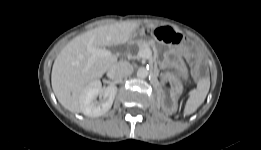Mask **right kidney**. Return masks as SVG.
Returning <instances> with one entry per match:
<instances>
[{
	"label": "right kidney",
	"instance_id": "1",
	"mask_svg": "<svg viewBox=\"0 0 261 150\" xmlns=\"http://www.w3.org/2000/svg\"><path fill=\"white\" fill-rule=\"evenodd\" d=\"M116 93L117 87L115 85H109L102 89L99 80L91 83L84 89L81 97L82 113L88 117L102 116L112 107Z\"/></svg>",
	"mask_w": 261,
	"mask_h": 150
}]
</instances>
